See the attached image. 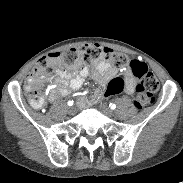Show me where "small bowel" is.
<instances>
[{"label":"small bowel","mask_w":183,"mask_h":183,"mask_svg":"<svg viewBox=\"0 0 183 183\" xmlns=\"http://www.w3.org/2000/svg\"><path fill=\"white\" fill-rule=\"evenodd\" d=\"M94 69L95 70L93 72H91L88 67H83L72 72H67L64 69H57L55 73L62 80L58 84L57 88L52 92V98L57 99L59 97L66 96L70 90L79 89L83 85L85 78L89 76H91L100 85L106 86L113 78H115L116 70L106 62H97L94 65ZM124 81L125 86L123 91L127 94H132L135 91L136 79L130 66L124 72ZM86 100L88 101V99Z\"/></svg>","instance_id":"1"}]
</instances>
